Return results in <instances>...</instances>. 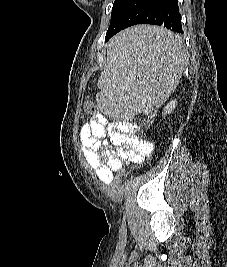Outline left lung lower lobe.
Segmentation results:
<instances>
[{"label": "left lung lower lobe", "instance_id": "obj_1", "mask_svg": "<svg viewBox=\"0 0 227 267\" xmlns=\"http://www.w3.org/2000/svg\"><path fill=\"white\" fill-rule=\"evenodd\" d=\"M136 24L160 25L174 33L183 34L178 0H128L111 14L105 41L121 30ZM160 43L162 42L153 38H142L133 42L132 46L133 49L141 51Z\"/></svg>", "mask_w": 227, "mask_h": 267}]
</instances>
